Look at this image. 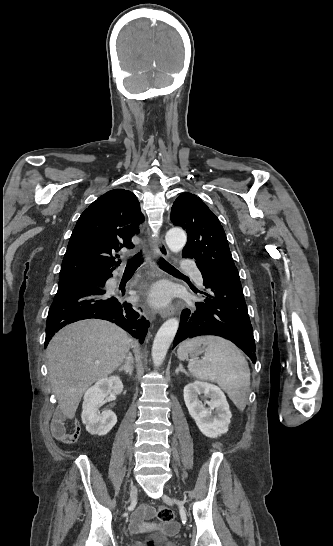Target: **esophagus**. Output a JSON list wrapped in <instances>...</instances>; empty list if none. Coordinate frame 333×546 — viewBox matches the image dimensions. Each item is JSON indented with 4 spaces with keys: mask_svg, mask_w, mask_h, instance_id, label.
Masks as SVG:
<instances>
[{
    "mask_svg": "<svg viewBox=\"0 0 333 546\" xmlns=\"http://www.w3.org/2000/svg\"><path fill=\"white\" fill-rule=\"evenodd\" d=\"M148 235H150V230L148 229ZM153 247H154V252H153V256L155 257V259L157 261H159L160 258H164V259H167L168 256H169V252H168V249H167V246L164 242V239L162 236H159L157 237L154 241H153ZM157 269L159 271V274L160 276H164V273L163 271L159 268V265H157ZM143 307H146V305L144 304ZM175 312V307L172 305V306H169L167 308H164V309H161L160 310V315L163 319L173 315ZM154 310H151V309H147V315L150 317V318H153L154 317Z\"/></svg>",
    "mask_w": 333,
    "mask_h": 546,
    "instance_id": "obj_1",
    "label": "esophagus"
}]
</instances>
